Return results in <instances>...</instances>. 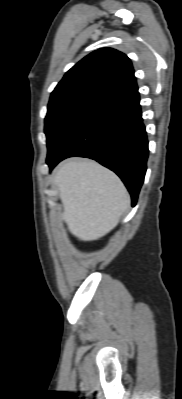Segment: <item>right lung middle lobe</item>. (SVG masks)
<instances>
[{
	"instance_id": "dd1d6c3e",
	"label": "right lung middle lobe",
	"mask_w": 182,
	"mask_h": 399,
	"mask_svg": "<svg viewBox=\"0 0 182 399\" xmlns=\"http://www.w3.org/2000/svg\"><path fill=\"white\" fill-rule=\"evenodd\" d=\"M105 102L88 95H66L50 98L45 118L48 149L77 121L103 106Z\"/></svg>"
}]
</instances>
